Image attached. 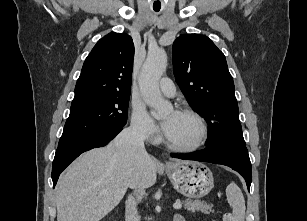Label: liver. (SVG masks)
Returning a JSON list of instances; mask_svg holds the SVG:
<instances>
[{"mask_svg":"<svg viewBox=\"0 0 307 221\" xmlns=\"http://www.w3.org/2000/svg\"><path fill=\"white\" fill-rule=\"evenodd\" d=\"M156 179L157 164L148 154L130 152L115 140L85 152L58 180L57 221H100L129 187L149 188Z\"/></svg>","mask_w":307,"mask_h":221,"instance_id":"1","label":"liver"}]
</instances>
